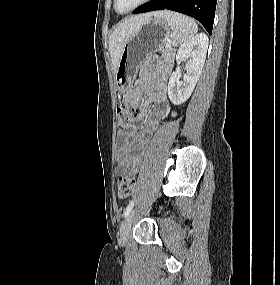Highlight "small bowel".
Masks as SVG:
<instances>
[{
	"mask_svg": "<svg viewBox=\"0 0 280 285\" xmlns=\"http://www.w3.org/2000/svg\"><path fill=\"white\" fill-rule=\"evenodd\" d=\"M158 61V60H156ZM171 76L169 66L165 65L158 72L149 64L144 69V75L137 86L124 96L127 103L135 104L138 108V118L144 117L147 109L152 104L161 105V109L156 114V119L166 116L170 110L167 97V85ZM156 128L155 121H148L141 134L136 132H120L118 134V164L117 173H128L134 176L139 171L140 158L134 154L133 144H137L141 149L146 137L154 132Z\"/></svg>",
	"mask_w": 280,
	"mask_h": 285,
	"instance_id": "obj_1",
	"label": "small bowel"
}]
</instances>
